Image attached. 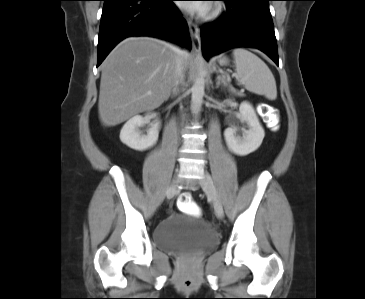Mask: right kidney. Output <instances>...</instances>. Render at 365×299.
<instances>
[{
  "label": "right kidney",
  "instance_id": "right-kidney-1",
  "mask_svg": "<svg viewBox=\"0 0 365 299\" xmlns=\"http://www.w3.org/2000/svg\"><path fill=\"white\" fill-rule=\"evenodd\" d=\"M153 116L154 114H148L145 117L137 115L129 119L121 129V142L138 151L152 147L158 140L159 122L151 124V128L146 135H141L139 127L148 123Z\"/></svg>",
  "mask_w": 365,
  "mask_h": 299
}]
</instances>
